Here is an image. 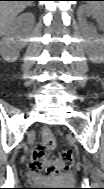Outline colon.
Masks as SVG:
<instances>
[{
	"instance_id": "obj_1",
	"label": "colon",
	"mask_w": 104,
	"mask_h": 189,
	"mask_svg": "<svg viewBox=\"0 0 104 189\" xmlns=\"http://www.w3.org/2000/svg\"><path fill=\"white\" fill-rule=\"evenodd\" d=\"M56 139L49 129L42 131L41 141L31 150L30 168L44 177H50L68 171L75 158L71 151L64 150L56 159L48 157V153L56 148Z\"/></svg>"
}]
</instances>
